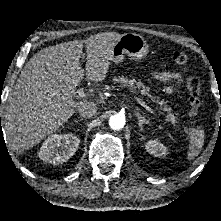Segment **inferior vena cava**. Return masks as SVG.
<instances>
[{"instance_id": "obj_1", "label": "inferior vena cava", "mask_w": 221, "mask_h": 221, "mask_svg": "<svg viewBox=\"0 0 221 221\" xmlns=\"http://www.w3.org/2000/svg\"><path fill=\"white\" fill-rule=\"evenodd\" d=\"M78 112L80 116L90 118L96 114L97 105L94 102H86L79 107Z\"/></svg>"}]
</instances>
